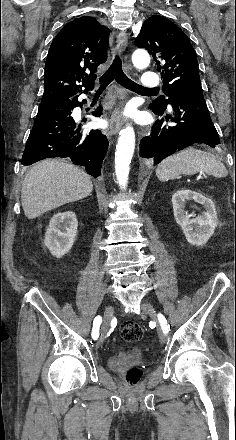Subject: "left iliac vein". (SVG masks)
<instances>
[{
	"mask_svg": "<svg viewBox=\"0 0 236 440\" xmlns=\"http://www.w3.org/2000/svg\"><path fill=\"white\" fill-rule=\"evenodd\" d=\"M142 311L144 314H148L153 321L158 323L157 312L151 303L144 301L142 303ZM158 335H159V339H160L161 343H165L166 342V335L159 325H158Z\"/></svg>",
	"mask_w": 236,
	"mask_h": 440,
	"instance_id": "4c4485c4",
	"label": "left iliac vein"
}]
</instances>
